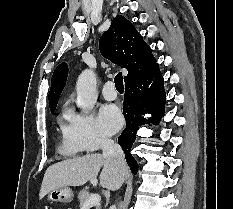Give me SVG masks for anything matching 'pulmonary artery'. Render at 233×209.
<instances>
[{"mask_svg": "<svg viewBox=\"0 0 233 209\" xmlns=\"http://www.w3.org/2000/svg\"><path fill=\"white\" fill-rule=\"evenodd\" d=\"M102 94L107 100H114L117 97V91L115 89L114 83L112 81H107L103 88Z\"/></svg>", "mask_w": 233, "mask_h": 209, "instance_id": "1", "label": "pulmonary artery"}]
</instances>
